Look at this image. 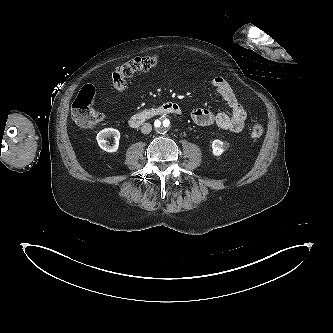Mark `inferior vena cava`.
Wrapping results in <instances>:
<instances>
[{"label":"inferior vena cava","mask_w":333,"mask_h":333,"mask_svg":"<svg viewBox=\"0 0 333 333\" xmlns=\"http://www.w3.org/2000/svg\"><path fill=\"white\" fill-rule=\"evenodd\" d=\"M152 130V125L150 123H144L141 127V132L143 134H149Z\"/></svg>","instance_id":"inferior-vena-cava-1"}]
</instances>
